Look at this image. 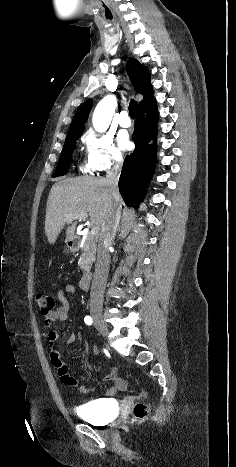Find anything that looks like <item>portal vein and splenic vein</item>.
<instances>
[{
  "label": "portal vein and splenic vein",
  "instance_id": "18ae733b",
  "mask_svg": "<svg viewBox=\"0 0 236 467\" xmlns=\"http://www.w3.org/2000/svg\"><path fill=\"white\" fill-rule=\"evenodd\" d=\"M67 218H68V219H71L72 216L70 215V216H68ZM86 218H87V216L84 217V220H85ZM80 220H82V218H80ZM98 233H99V227H98V226L92 227L91 230H90V232H89V234H90L91 236H95V235H97Z\"/></svg>",
  "mask_w": 236,
  "mask_h": 467
}]
</instances>
